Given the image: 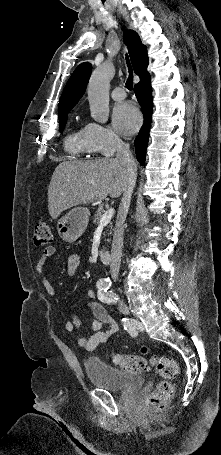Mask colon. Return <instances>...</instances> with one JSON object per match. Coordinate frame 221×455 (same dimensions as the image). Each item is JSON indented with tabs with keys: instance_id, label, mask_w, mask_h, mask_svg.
I'll return each mask as SVG.
<instances>
[{
	"instance_id": "colon-1",
	"label": "colon",
	"mask_w": 221,
	"mask_h": 455,
	"mask_svg": "<svg viewBox=\"0 0 221 455\" xmlns=\"http://www.w3.org/2000/svg\"><path fill=\"white\" fill-rule=\"evenodd\" d=\"M34 244L37 247H50L53 241V233L47 223H40L34 229ZM146 353L147 350L143 349ZM113 361L124 371L129 373H141L153 366L165 380L158 383L155 390L146 398L145 407L151 410H162L171 401L174 395L172 380L177 379L179 367L177 361L171 356H152L149 360L142 356L115 354Z\"/></svg>"
}]
</instances>
